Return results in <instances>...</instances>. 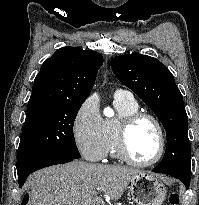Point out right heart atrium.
Wrapping results in <instances>:
<instances>
[{
    "label": "right heart atrium",
    "instance_id": "d8ad5b80",
    "mask_svg": "<svg viewBox=\"0 0 199 205\" xmlns=\"http://www.w3.org/2000/svg\"><path fill=\"white\" fill-rule=\"evenodd\" d=\"M72 132L75 145L82 156L97 162L106 156V141L98 99L86 98L73 120Z\"/></svg>",
    "mask_w": 199,
    "mask_h": 205
}]
</instances>
